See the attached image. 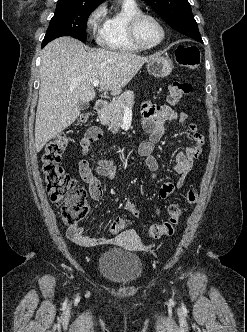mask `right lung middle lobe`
<instances>
[{"label":"right lung middle lobe","instance_id":"right-lung-middle-lobe-1","mask_svg":"<svg viewBox=\"0 0 247 332\" xmlns=\"http://www.w3.org/2000/svg\"><path fill=\"white\" fill-rule=\"evenodd\" d=\"M100 4L89 0H58L46 34L64 33L85 42L87 19Z\"/></svg>","mask_w":247,"mask_h":332}]
</instances>
